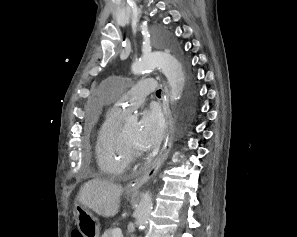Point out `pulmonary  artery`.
<instances>
[{
    "label": "pulmonary artery",
    "instance_id": "e3ab8cb5",
    "mask_svg": "<svg viewBox=\"0 0 297 237\" xmlns=\"http://www.w3.org/2000/svg\"><path fill=\"white\" fill-rule=\"evenodd\" d=\"M157 89V84L151 77L141 79L137 84L121 88L122 97L115 107L116 111L125 113L139 106L144 99Z\"/></svg>",
    "mask_w": 297,
    "mask_h": 237
}]
</instances>
